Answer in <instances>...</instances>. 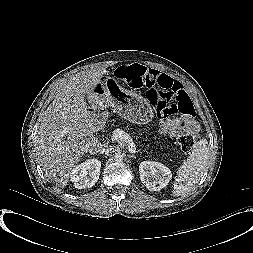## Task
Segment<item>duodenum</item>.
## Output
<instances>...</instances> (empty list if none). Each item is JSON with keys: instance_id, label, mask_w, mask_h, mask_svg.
Returning a JSON list of instances; mask_svg holds the SVG:
<instances>
[{"instance_id": "1", "label": "duodenum", "mask_w": 253, "mask_h": 253, "mask_svg": "<svg viewBox=\"0 0 253 253\" xmlns=\"http://www.w3.org/2000/svg\"><path fill=\"white\" fill-rule=\"evenodd\" d=\"M89 122L93 126L102 127L104 125L106 112L101 107H93L88 112Z\"/></svg>"}]
</instances>
